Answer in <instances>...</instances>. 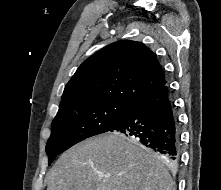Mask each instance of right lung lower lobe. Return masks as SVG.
I'll return each mask as SVG.
<instances>
[{"label": "right lung lower lobe", "instance_id": "obj_1", "mask_svg": "<svg viewBox=\"0 0 221 190\" xmlns=\"http://www.w3.org/2000/svg\"><path fill=\"white\" fill-rule=\"evenodd\" d=\"M110 132L132 137L156 152L167 164L179 160L180 134L168 85L135 102Z\"/></svg>", "mask_w": 221, "mask_h": 190}]
</instances>
